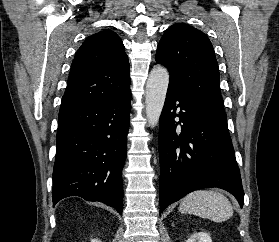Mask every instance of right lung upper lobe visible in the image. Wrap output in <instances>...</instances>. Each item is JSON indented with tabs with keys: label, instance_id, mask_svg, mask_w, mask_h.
I'll use <instances>...</instances> for the list:
<instances>
[{
	"label": "right lung upper lobe",
	"instance_id": "cb5924a9",
	"mask_svg": "<svg viewBox=\"0 0 279 242\" xmlns=\"http://www.w3.org/2000/svg\"><path fill=\"white\" fill-rule=\"evenodd\" d=\"M130 89L129 62L124 45L109 29L91 35L71 65L60 109L107 100Z\"/></svg>",
	"mask_w": 279,
	"mask_h": 242
}]
</instances>
